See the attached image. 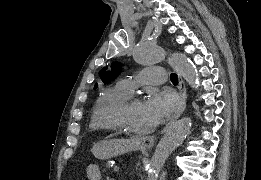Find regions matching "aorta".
Wrapping results in <instances>:
<instances>
[{
	"mask_svg": "<svg viewBox=\"0 0 261 180\" xmlns=\"http://www.w3.org/2000/svg\"><path fill=\"white\" fill-rule=\"evenodd\" d=\"M134 60L142 65H152L159 63L165 58L163 48L149 43L137 45L133 52ZM175 69L181 73L189 86L198 90L200 77L196 67L192 62L181 53H173L170 58ZM192 126V120L184 117L172 124L161 141L157 145L153 157L147 167V180H157L162 167L164 166L169 155L184 141L189 134Z\"/></svg>",
	"mask_w": 261,
	"mask_h": 180,
	"instance_id": "1",
	"label": "aorta"
}]
</instances>
